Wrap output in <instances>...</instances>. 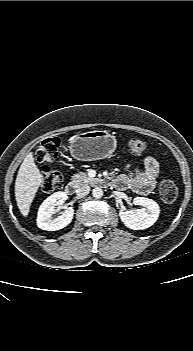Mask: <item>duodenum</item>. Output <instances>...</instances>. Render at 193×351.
I'll return each mask as SVG.
<instances>
[{"mask_svg": "<svg viewBox=\"0 0 193 351\" xmlns=\"http://www.w3.org/2000/svg\"><path fill=\"white\" fill-rule=\"evenodd\" d=\"M103 183L104 184L110 183V180L109 179H104ZM66 191L70 195L74 194V192H75V184H74V182L70 181V182L67 183Z\"/></svg>", "mask_w": 193, "mask_h": 351, "instance_id": "1", "label": "duodenum"}]
</instances>
